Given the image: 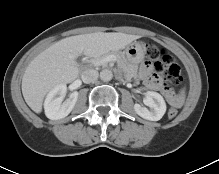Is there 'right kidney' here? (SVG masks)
<instances>
[{
  "mask_svg": "<svg viewBox=\"0 0 219 174\" xmlns=\"http://www.w3.org/2000/svg\"><path fill=\"white\" fill-rule=\"evenodd\" d=\"M67 87L65 84L54 87L46 96L44 102L45 115L51 120H59L65 118L74 108L78 92L71 93L69 99L62 103L66 94Z\"/></svg>",
  "mask_w": 219,
  "mask_h": 174,
  "instance_id": "1",
  "label": "right kidney"
}]
</instances>
